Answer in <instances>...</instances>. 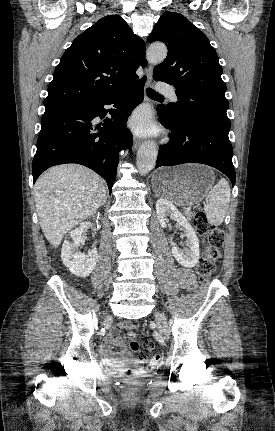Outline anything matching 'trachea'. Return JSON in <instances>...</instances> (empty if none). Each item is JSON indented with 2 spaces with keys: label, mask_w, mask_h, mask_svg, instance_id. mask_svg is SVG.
Here are the masks:
<instances>
[{
  "label": "trachea",
  "mask_w": 275,
  "mask_h": 431,
  "mask_svg": "<svg viewBox=\"0 0 275 431\" xmlns=\"http://www.w3.org/2000/svg\"><path fill=\"white\" fill-rule=\"evenodd\" d=\"M146 93H147V95H149V96H153V97H161V98H163V96H162V95H160L159 93L155 92V91H154V90H152L151 88H147V89H146Z\"/></svg>",
  "instance_id": "trachea-1"
}]
</instances>
